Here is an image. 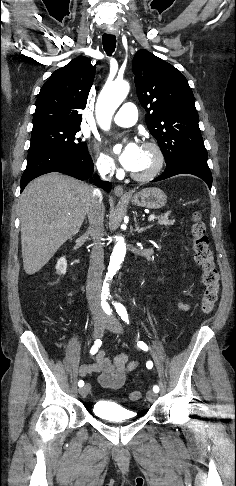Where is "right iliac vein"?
I'll use <instances>...</instances> for the list:
<instances>
[{"instance_id": "obj_1", "label": "right iliac vein", "mask_w": 236, "mask_h": 486, "mask_svg": "<svg viewBox=\"0 0 236 486\" xmlns=\"http://www.w3.org/2000/svg\"><path fill=\"white\" fill-rule=\"evenodd\" d=\"M106 327V320L105 319H96L94 323V331L93 336L95 339L101 338L103 336L104 330ZM91 386L90 384H85L82 388L79 389V393L81 396H86L90 392Z\"/></svg>"}]
</instances>
